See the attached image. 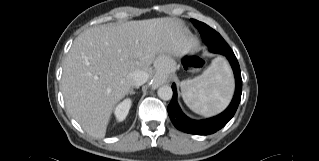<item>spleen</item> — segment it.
Here are the masks:
<instances>
[{
	"label": "spleen",
	"mask_w": 319,
	"mask_h": 161,
	"mask_svg": "<svg viewBox=\"0 0 319 161\" xmlns=\"http://www.w3.org/2000/svg\"><path fill=\"white\" fill-rule=\"evenodd\" d=\"M233 87L231 69L223 58H216L201 75L181 82L185 104L204 116L221 112L231 99Z\"/></svg>",
	"instance_id": "spleen-1"
}]
</instances>
